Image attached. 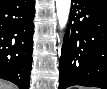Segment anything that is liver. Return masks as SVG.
Returning a JSON list of instances; mask_svg holds the SVG:
<instances>
[{
    "label": "liver",
    "instance_id": "1",
    "mask_svg": "<svg viewBox=\"0 0 107 89\" xmlns=\"http://www.w3.org/2000/svg\"><path fill=\"white\" fill-rule=\"evenodd\" d=\"M0 89H16V86L12 85L11 83L1 81Z\"/></svg>",
    "mask_w": 107,
    "mask_h": 89
}]
</instances>
